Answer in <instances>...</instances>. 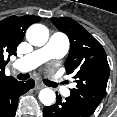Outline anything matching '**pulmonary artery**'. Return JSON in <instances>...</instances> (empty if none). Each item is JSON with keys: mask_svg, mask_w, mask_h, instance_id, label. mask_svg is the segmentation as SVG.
<instances>
[{"mask_svg": "<svg viewBox=\"0 0 117 117\" xmlns=\"http://www.w3.org/2000/svg\"><path fill=\"white\" fill-rule=\"evenodd\" d=\"M69 46L68 38L60 33H54L48 43L30 54L22 57L14 63V67L22 72L32 70L44 62L62 58ZM58 86H60L58 84ZM65 96H69L70 91L67 88L62 90Z\"/></svg>", "mask_w": 117, "mask_h": 117, "instance_id": "1", "label": "pulmonary artery"}]
</instances>
